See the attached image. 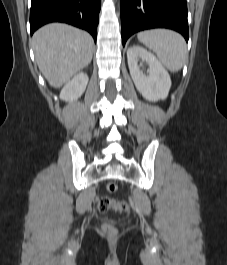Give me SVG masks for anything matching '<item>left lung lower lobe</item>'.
<instances>
[{
  "mask_svg": "<svg viewBox=\"0 0 227 265\" xmlns=\"http://www.w3.org/2000/svg\"><path fill=\"white\" fill-rule=\"evenodd\" d=\"M122 43L135 32L169 28L189 38L186 0H121Z\"/></svg>",
  "mask_w": 227,
  "mask_h": 265,
  "instance_id": "0a47b994",
  "label": "left lung lower lobe"
}]
</instances>
